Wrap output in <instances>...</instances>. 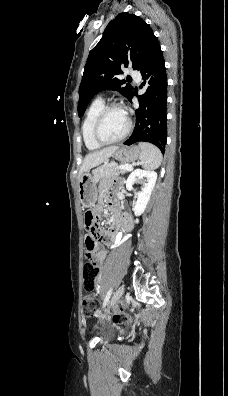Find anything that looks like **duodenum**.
<instances>
[{
    "label": "duodenum",
    "mask_w": 228,
    "mask_h": 396,
    "mask_svg": "<svg viewBox=\"0 0 228 396\" xmlns=\"http://www.w3.org/2000/svg\"><path fill=\"white\" fill-rule=\"evenodd\" d=\"M118 229H122L124 232L128 230V221L124 217H120L119 220L115 223Z\"/></svg>",
    "instance_id": "duodenum-1"
}]
</instances>
